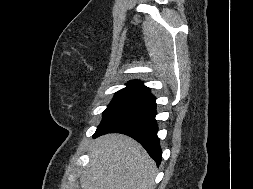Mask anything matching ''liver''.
<instances>
[{"label": "liver", "instance_id": "1", "mask_svg": "<svg viewBox=\"0 0 253 189\" xmlns=\"http://www.w3.org/2000/svg\"><path fill=\"white\" fill-rule=\"evenodd\" d=\"M80 178L81 189H154L155 162L134 139L122 134L97 138Z\"/></svg>", "mask_w": 253, "mask_h": 189}]
</instances>
